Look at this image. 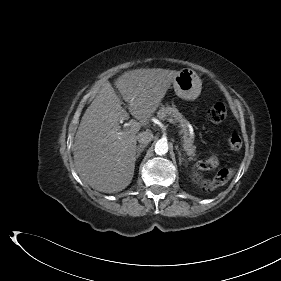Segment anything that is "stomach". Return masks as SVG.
Returning a JSON list of instances; mask_svg holds the SVG:
<instances>
[{"label":"stomach","mask_w":281,"mask_h":281,"mask_svg":"<svg viewBox=\"0 0 281 281\" xmlns=\"http://www.w3.org/2000/svg\"><path fill=\"white\" fill-rule=\"evenodd\" d=\"M173 88L177 96L185 100H194L200 93L202 82L199 76L190 68H184L173 80Z\"/></svg>","instance_id":"1"}]
</instances>
